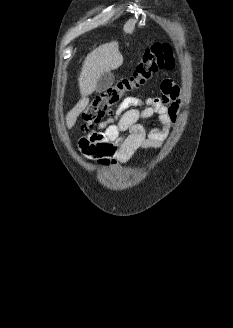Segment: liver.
Instances as JSON below:
<instances>
[{
  "instance_id": "1",
  "label": "liver",
  "mask_w": 233,
  "mask_h": 328,
  "mask_svg": "<svg viewBox=\"0 0 233 328\" xmlns=\"http://www.w3.org/2000/svg\"><path fill=\"white\" fill-rule=\"evenodd\" d=\"M135 22H129L124 30L132 33ZM123 64V56L119 51L118 42L112 41L93 49L85 58L78 78L81 99L66 115V124L70 129L77 117L89 104L88 95L96 90L97 81L101 74L118 69Z\"/></svg>"
}]
</instances>
